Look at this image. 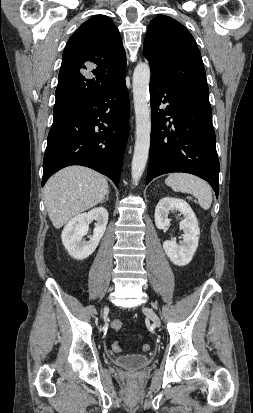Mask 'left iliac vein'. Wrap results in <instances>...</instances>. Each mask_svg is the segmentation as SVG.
I'll return each mask as SVG.
<instances>
[{"label": "left iliac vein", "mask_w": 253, "mask_h": 413, "mask_svg": "<svg viewBox=\"0 0 253 413\" xmlns=\"http://www.w3.org/2000/svg\"><path fill=\"white\" fill-rule=\"evenodd\" d=\"M143 312L148 318L151 319V321L153 322L155 326L160 327V324H161L160 319L151 308L144 307Z\"/></svg>", "instance_id": "obj_1"}]
</instances>
